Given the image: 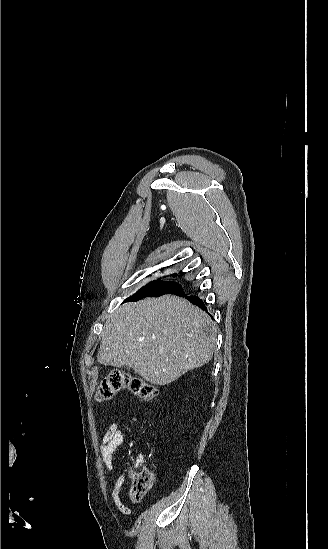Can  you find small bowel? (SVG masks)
<instances>
[{"label":"small bowel","instance_id":"obj_1","mask_svg":"<svg viewBox=\"0 0 328 549\" xmlns=\"http://www.w3.org/2000/svg\"><path fill=\"white\" fill-rule=\"evenodd\" d=\"M124 439V432L119 424L111 425L105 432L101 444L100 453L103 463L108 471L112 470L113 454L116 448L122 443ZM145 455L140 454L137 459V464H143L145 462ZM125 481V475L120 474L114 482L112 489V499L116 508L123 514L129 513V508L123 503L120 497V491ZM154 482V479H153Z\"/></svg>","mask_w":328,"mask_h":549}]
</instances>
